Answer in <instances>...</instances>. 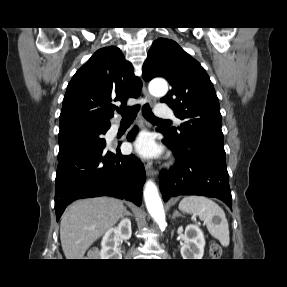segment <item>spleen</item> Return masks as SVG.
Segmentation results:
<instances>
[{
	"mask_svg": "<svg viewBox=\"0 0 287 287\" xmlns=\"http://www.w3.org/2000/svg\"><path fill=\"white\" fill-rule=\"evenodd\" d=\"M179 209L198 215L205 222L209 233L218 239L222 246L230 242L229 225L223 209L213 200L204 196H186L179 203ZM219 222H215L214 218Z\"/></svg>",
	"mask_w": 287,
	"mask_h": 287,
	"instance_id": "1",
	"label": "spleen"
}]
</instances>
